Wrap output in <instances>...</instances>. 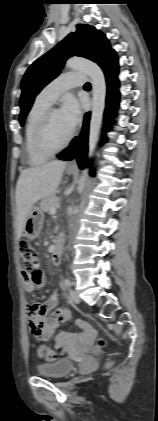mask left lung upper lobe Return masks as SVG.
Listing matches in <instances>:
<instances>
[{
  "instance_id": "left-lung-upper-lobe-1",
  "label": "left lung upper lobe",
  "mask_w": 158,
  "mask_h": 421,
  "mask_svg": "<svg viewBox=\"0 0 158 421\" xmlns=\"http://www.w3.org/2000/svg\"><path fill=\"white\" fill-rule=\"evenodd\" d=\"M113 51L102 32L92 26L79 24L75 33L69 34L26 71L22 80L20 123L23 125L35 96L58 76L67 58L82 56L100 65Z\"/></svg>"
}]
</instances>
